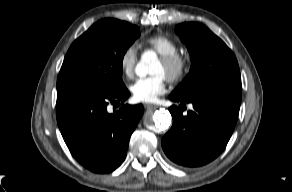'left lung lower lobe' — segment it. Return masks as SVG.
I'll return each instance as SVG.
<instances>
[{
    "label": "left lung lower lobe",
    "instance_id": "left-lung-lower-lobe-1",
    "mask_svg": "<svg viewBox=\"0 0 292 192\" xmlns=\"http://www.w3.org/2000/svg\"><path fill=\"white\" fill-rule=\"evenodd\" d=\"M169 99L181 104L180 109L169 108L173 125L162 139L167 157L185 167H198L219 156L236 125L241 95L213 93L188 99L170 95ZM186 103L194 110L184 115Z\"/></svg>",
    "mask_w": 292,
    "mask_h": 192
}]
</instances>
